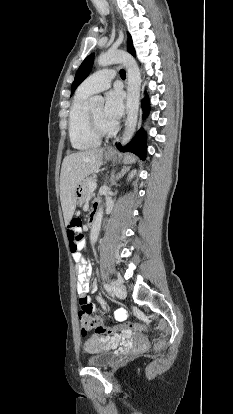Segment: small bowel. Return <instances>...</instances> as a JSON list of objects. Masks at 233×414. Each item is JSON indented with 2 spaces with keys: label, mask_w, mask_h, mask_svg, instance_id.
Instances as JSON below:
<instances>
[{
  "label": "small bowel",
  "mask_w": 233,
  "mask_h": 414,
  "mask_svg": "<svg viewBox=\"0 0 233 414\" xmlns=\"http://www.w3.org/2000/svg\"><path fill=\"white\" fill-rule=\"evenodd\" d=\"M82 252H86L87 248L84 247V243L80 246V251L72 252L74 263L73 266L77 270V292L80 297H86L89 301L87 294L90 290H95L96 286L90 285V277L92 273L91 265L84 259ZM100 303L105 307L103 301L99 299ZM107 310H112V305H107ZM127 317V312L123 308H119L114 312V319L116 321H122Z\"/></svg>",
  "instance_id": "small-bowel-1"
}]
</instances>
